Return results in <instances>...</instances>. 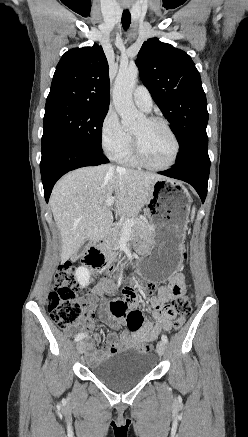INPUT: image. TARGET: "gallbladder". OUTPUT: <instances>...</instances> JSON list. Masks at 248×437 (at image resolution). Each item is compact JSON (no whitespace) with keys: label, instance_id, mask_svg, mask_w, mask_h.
<instances>
[{"label":"gallbladder","instance_id":"1","mask_svg":"<svg viewBox=\"0 0 248 437\" xmlns=\"http://www.w3.org/2000/svg\"><path fill=\"white\" fill-rule=\"evenodd\" d=\"M87 245H89V243H88V244H84V245L81 246V248L79 249V251H78L77 254H76L77 257H80V256L82 255V253H83L84 250L86 249V246H87Z\"/></svg>","mask_w":248,"mask_h":437}]
</instances>
